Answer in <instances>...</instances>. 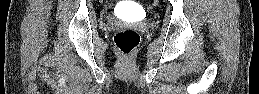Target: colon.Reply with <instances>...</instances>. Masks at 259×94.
I'll list each match as a JSON object with an SVG mask.
<instances>
[{"label": "colon", "instance_id": "5ec220e1", "mask_svg": "<svg viewBox=\"0 0 259 94\" xmlns=\"http://www.w3.org/2000/svg\"><path fill=\"white\" fill-rule=\"evenodd\" d=\"M114 42L123 61L129 63L131 54L140 42V35L134 29H123L115 34Z\"/></svg>", "mask_w": 259, "mask_h": 94}]
</instances>
